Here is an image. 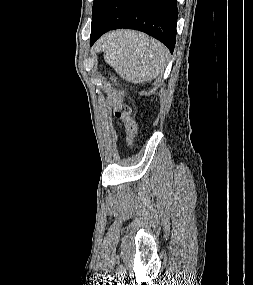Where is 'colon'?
I'll use <instances>...</instances> for the list:
<instances>
[{
	"mask_svg": "<svg viewBox=\"0 0 253 285\" xmlns=\"http://www.w3.org/2000/svg\"><path fill=\"white\" fill-rule=\"evenodd\" d=\"M112 82L116 87L113 97V109L115 116L124 122L127 131V143L128 146L132 148L137 134V125L134 119L131 117L130 107L123 101V91L119 88L115 79H112Z\"/></svg>",
	"mask_w": 253,
	"mask_h": 285,
	"instance_id": "colon-1",
	"label": "colon"
}]
</instances>
